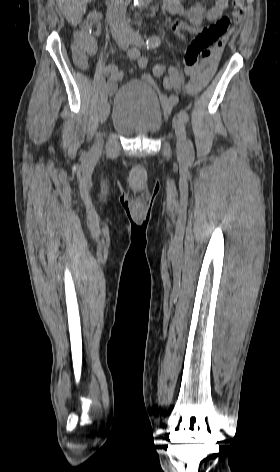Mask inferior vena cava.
Instances as JSON below:
<instances>
[{"instance_id": "inferior-vena-cava-1", "label": "inferior vena cava", "mask_w": 280, "mask_h": 472, "mask_svg": "<svg viewBox=\"0 0 280 472\" xmlns=\"http://www.w3.org/2000/svg\"><path fill=\"white\" fill-rule=\"evenodd\" d=\"M130 0H111L108 17L112 33L115 35L119 31L127 29L126 9Z\"/></svg>"}]
</instances>
